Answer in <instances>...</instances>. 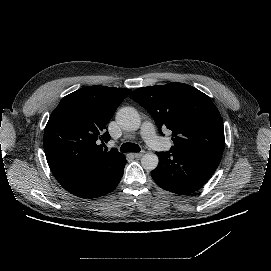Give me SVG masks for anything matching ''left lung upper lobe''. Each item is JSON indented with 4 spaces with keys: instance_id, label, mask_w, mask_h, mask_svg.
I'll return each mask as SVG.
<instances>
[{
    "instance_id": "1",
    "label": "left lung upper lobe",
    "mask_w": 271,
    "mask_h": 271,
    "mask_svg": "<svg viewBox=\"0 0 271 271\" xmlns=\"http://www.w3.org/2000/svg\"><path fill=\"white\" fill-rule=\"evenodd\" d=\"M130 98L150 113L162 135L163 126L172 130L173 149L223 153L221 115L212 100L196 88L168 83L136 89Z\"/></svg>"
}]
</instances>
